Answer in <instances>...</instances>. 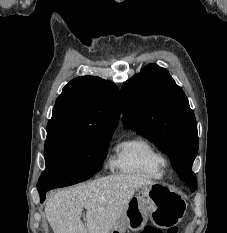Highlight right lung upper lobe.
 Segmentation results:
<instances>
[{"mask_svg":"<svg viewBox=\"0 0 227 233\" xmlns=\"http://www.w3.org/2000/svg\"><path fill=\"white\" fill-rule=\"evenodd\" d=\"M120 116L119 90L96 76L70 81L57 98L47 133L100 136L114 132Z\"/></svg>","mask_w":227,"mask_h":233,"instance_id":"right-lung-upper-lobe-1","label":"right lung upper lobe"}]
</instances>
